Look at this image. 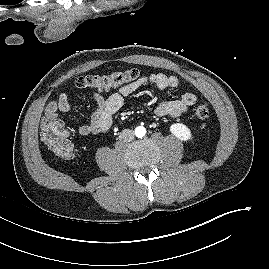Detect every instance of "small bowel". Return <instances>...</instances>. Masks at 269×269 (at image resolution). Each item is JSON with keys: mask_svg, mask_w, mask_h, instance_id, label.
<instances>
[{"mask_svg": "<svg viewBox=\"0 0 269 269\" xmlns=\"http://www.w3.org/2000/svg\"><path fill=\"white\" fill-rule=\"evenodd\" d=\"M154 84L159 89H175L179 86V79L174 75L164 73H152L139 77L136 81L121 86L116 92L106 93L94 92L93 98L96 102V109L93 112L89 123L78 128L81 136L106 133L112 123V117L124 105L125 99L146 84ZM197 101L193 92L184 93L179 99L162 100L155 108V114L159 117L177 119L186 113ZM71 109L69 95L62 92L56 100L48 103L45 111L47 117L57 118L58 112H67Z\"/></svg>", "mask_w": 269, "mask_h": 269, "instance_id": "obj_1", "label": "small bowel"}]
</instances>
